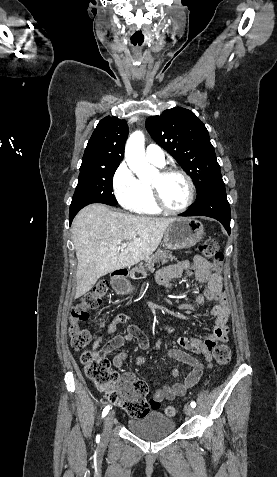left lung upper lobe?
<instances>
[{"label":"left lung upper lobe","mask_w":277,"mask_h":477,"mask_svg":"<svg viewBox=\"0 0 277 477\" xmlns=\"http://www.w3.org/2000/svg\"><path fill=\"white\" fill-rule=\"evenodd\" d=\"M146 128L153 140L190 175L197 197L213 179L221 177L208 131L192 111L180 107L167 109L161 115L149 117Z\"/></svg>","instance_id":"obj_1"}]
</instances>
